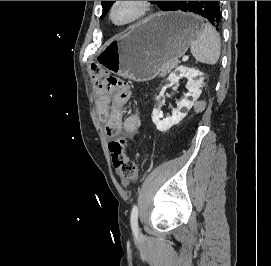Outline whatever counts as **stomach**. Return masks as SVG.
<instances>
[{"label": "stomach", "mask_w": 271, "mask_h": 266, "mask_svg": "<svg viewBox=\"0 0 271 266\" xmlns=\"http://www.w3.org/2000/svg\"><path fill=\"white\" fill-rule=\"evenodd\" d=\"M199 33L200 20L192 13L156 14L108 41L97 59L113 74L149 81L162 72L164 63L183 56Z\"/></svg>", "instance_id": "0dacf381"}]
</instances>
